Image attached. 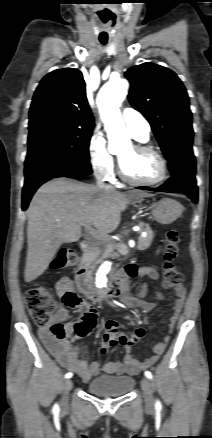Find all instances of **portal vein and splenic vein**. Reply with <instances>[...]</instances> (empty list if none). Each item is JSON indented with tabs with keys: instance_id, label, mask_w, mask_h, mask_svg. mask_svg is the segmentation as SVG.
<instances>
[{
	"instance_id": "portal-vein-and-splenic-vein-1",
	"label": "portal vein and splenic vein",
	"mask_w": 212,
	"mask_h": 438,
	"mask_svg": "<svg viewBox=\"0 0 212 438\" xmlns=\"http://www.w3.org/2000/svg\"><path fill=\"white\" fill-rule=\"evenodd\" d=\"M85 228L93 235H97L98 233L96 232V230L92 229L89 225H86Z\"/></svg>"
}]
</instances>
